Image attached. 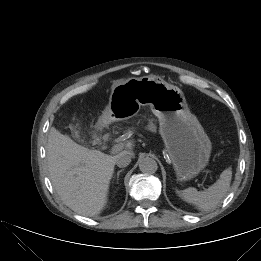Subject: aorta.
I'll list each match as a JSON object with an SVG mask.
<instances>
[{
  "mask_svg": "<svg viewBox=\"0 0 261 261\" xmlns=\"http://www.w3.org/2000/svg\"><path fill=\"white\" fill-rule=\"evenodd\" d=\"M139 169L142 173L153 174L157 171V162L151 157H144L139 161Z\"/></svg>",
  "mask_w": 261,
  "mask_h": 261,
  "instance_id": "aorta-1",
  "label": "aorta"
}]
</instances>
